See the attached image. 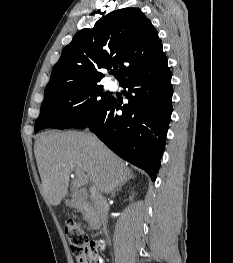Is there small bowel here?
<instances>
[{
	"label": "small bowel",
	"instance_id": "1",
	"mask_svg": "<svg viewBox=\"0 0 233 263\" xmlns=\"http://www.w3.org/2000/svg\"><path fill=\"white\" fill-rule=\"evenodd\" d=\"M101 248L104 250L105 249V244L101 243ZM98 263H105L102 257L98 258Z\"/></svg>",
	"mask_w": 233,
	"mask_h": 263
}]
</instances>
